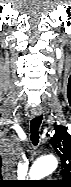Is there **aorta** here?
<instances>
[{"label": "aorta", "mask_w": 71, "mask_h": 187, "mask_svg": "<svg viewBox=\"0 0 71 187\" xmlns=\"http://www.w3.org/2000/svg\"><path fill=\"white\" fill-rule=\"evenodd\" d=\"M58 165L54 156H45L37 159L30 168L29 175L32 180H40L51 174Z\"/></svg>", "instance_id": "aorta-1"}]
</instances>
